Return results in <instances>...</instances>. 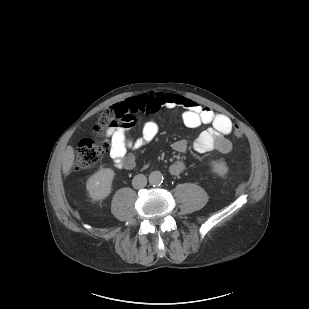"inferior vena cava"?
Instances as JSON below:
<instances>
[{
    "label": "inferior vena cava",
    "mask_w": 309,
    "mask_h": 309,
    "mask_svg": "<svg viewBox=\"0 0 309 309\" xmlns=\"http://www.w3.org/2000/svg\"><path fill=\"white\" fill-rule=\"evenodd\" d=\"M147 184V178L143 174L136 175L132 180V185L135 189H140L145 187Z\"/></svg>",
    "instance_id": "1"
}]
</instances>
